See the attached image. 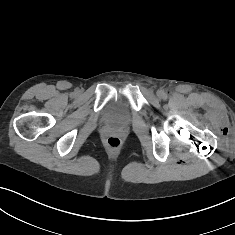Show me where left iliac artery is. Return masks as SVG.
Instances as JSON below:
<instances>
[{
    "mask_svg": "<svg viewBox=\"0 0 235 235\" xmlns=\"http://www.w3.org/2000/svg\"><path fill=\"white\" fill-rule=\"evenodd\" d=\"M163 98L166 99L167 98V94L163 93Z\"/></svg>",
    "mask_w": 235,
    "mask_h": 235,
    "instance_id": "44dca946",
    "label": "left iliac artery"
}]
</instances>
